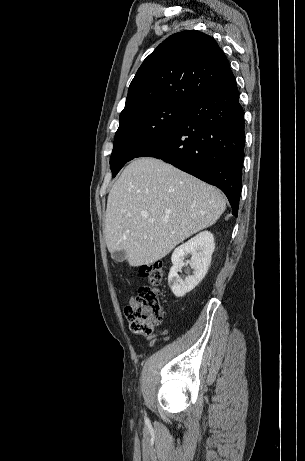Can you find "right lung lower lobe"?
Wrapping results in <instances>:
<instances>
[{
    "mask_svg": "<svg viewBox=\"0 0 305 461\" xmlns=\"http://www.w3.org/2000/svg\"><path fill=\"white\" fill-rule=\"evenodd\" d=\"M244 144V112L232 77L190 102L180 123L138 157L161 159L220 188L237 216Z\"/></svg>",
    "mask_w": 305,
    "mask_h": 461,
    "instance_id": "right-lung-lower-lobe-1",
    "label": "right lung lower lobe"
}]
</instances>
